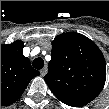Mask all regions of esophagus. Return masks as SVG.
Returning <instances> with one entry per match:
<instances>
[{
  "mask_svg": "<svg viewBox=\"0 0 109 109\" xmlns=\"http://www.w3.org/2000/svg\"><path fill=\"white\" fill-rule=\"evenodd\" d=\"M47 73V66H44L41 70H40V75L44 76Z\"/></svg>",
  "mask_w": 109,
  "mask_h": 109,
  "instance_id": "1",
  "label": "esophagus"
}]
</instances>
